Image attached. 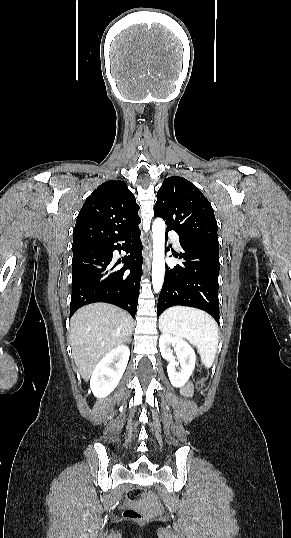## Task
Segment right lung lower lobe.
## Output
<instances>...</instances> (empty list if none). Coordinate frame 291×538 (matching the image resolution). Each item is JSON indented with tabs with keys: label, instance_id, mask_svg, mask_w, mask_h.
<instances>
[{
	"label": "right lung lower lobe",
	"instance_id": "right-lung-lower-lobe-1",
	"mask_svg": "<svg viewBox=\"0 0 291 538\" xmlns=\"http://www.w3.org/2000/svg\"><path fill=\"white\" fill-rule=\"evenodd\" d=\"M139 227L104 245L73 252L70 316L80 307L106 302L127 310L134 318L142 275V244ZM117 242H122L115 245ZM121 246V247H120ZM129 254L113 265V251ZM121 269H115L118 263Z\"/></svg>",
	"mask_w": 291,
	"mask_h": 538
}]
</instances>
